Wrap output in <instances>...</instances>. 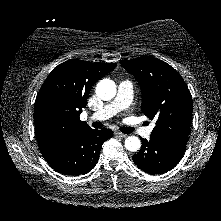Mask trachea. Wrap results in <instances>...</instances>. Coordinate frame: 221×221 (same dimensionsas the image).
<instances>
[{"label":"trachea","instance_id":"3493384b","mask_svg":"<svg viewBox=\"0 0 221 221\" xmlns=\"http://www.w3.org/2000/svg\"><path fill=\"white\" fill-rule=\"evenodd\" d=\"M92 125L95 128H101L102 127V123H100V122H94ZM120 131L123 132V133L129 134V133H132L134 131V128H132V127H121Z\"/></svg>","mask_w":221,"mask_h":221}]
</instances>
